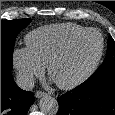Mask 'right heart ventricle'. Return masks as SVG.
<instances>
[{
	"label": "right heart ventricle",
	"instance_id": "e07e8e85",
	"mask_svg": "<svg viewBox=\"0 0 115 115\" xmlns=\"http://www.w3.org/2000/svg\"><path fill=\"white\" fill-rule=\"evenodd\" d=\"M85 29L75 23L45 25L29 32L25 43L35 60L44 66L73 35Z\"/></svg>",
	"mask_w": 115,
	"mask_h": 115
}]
</instances>
